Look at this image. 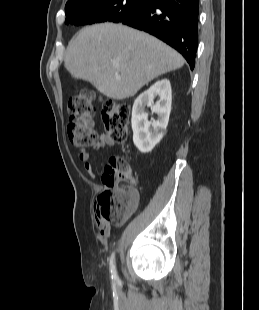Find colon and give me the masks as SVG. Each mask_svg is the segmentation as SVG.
<instances>
[{
    "label": "colon",
    "instance_id": "5ec220e1",
    "mask_svg": "<svg viewBox=\"0 0 259 310\" xmlns=\"http://www.w3.org/2000/svg\"><path fill=\"white\" fill-rule=\"evenodd\" d=\"M94 98L92 91L81 90L68 101V136L71 143L78 147H95L99 143L94 129ZM102 117L111 139H126L130 117L128 104L106 101L102 106ZM134 182L127 161L122 157H111L102 175L104 189L96 199L97 215L104 224H123L137 206L138 194L134 190Z\"/></svg>",
    "mask_w": 259,
    "mask_h": 310
}]
</instances>
